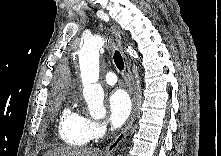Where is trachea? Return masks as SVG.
<instances>
[{
  "label": "trachea",
  "mask_w": 221,
  "mask_h": 156,
  "mask_svg": "<svg viewBox=\"0 0 221 156\" xmlns=\"http://www.w3.org/2000/svg\"><path fill=\"white\" fill-rule=\"evenodd\" d=\"M114 62L117 68L121 71L124 69V61L119 51H115L113 55Z\"/></svg>",
  "instance_id": "1"
}]
</instances>
